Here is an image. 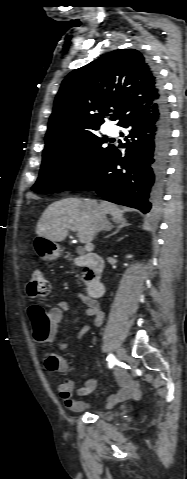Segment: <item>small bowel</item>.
<instances>
[{"label":"small bowel","mask_w":187,"mask_h":479,"mask_svg":"<svg viewBox=\"0 0 187 479\" xmlns=\"http://www.w3.org/2000/svg\"><path fill=\"white\" fill-rule=\"evenodd\" d=\"M77 296L85 304L86 313L91 317V323L85 325L79 332V337L82 338L91 325L100 326L102 324L104 314L95 300L83 294H78ZM72 310L73 308L69 304L58 303L51 308L49 316L44 317V310L40 305H31L28 309V317L33 324L34 334L38 337L54 334L63 319V313ZM65 348L66 343H60L59 349L64 350ZM44 365L50 373H67L70 369L67 360L56 352H46L44 354ZM116 379L120 389L115 394L109 396L106 404L107 408L112 407L120 400L129 397L139 398L141 395L139 383L130 378L123 369H116ZM74 381L75 377H68L60 381L57 385V390L68 409L81 411L88 408V404L74 398ZM96 385L97 381L90 379L83 388L79 389L78 394L87 395L96 388Z\"/></svg>","instance_id":"obj_1"}]
</instances>
